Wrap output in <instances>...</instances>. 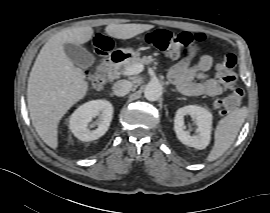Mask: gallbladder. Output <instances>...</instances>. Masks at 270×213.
Masks as SVG:
<instances>
[{
    "instance_id": "1",
    "label": "gallbladder",
    "mask_w": 270,
    "mask_h": 213,
    "mask_svg": "<svg viewBox=\"0 0 270 213\" xmlns=\"http://www.w3.org/2000/svg\"><path fill=\"white\" fill-rule=\"evenodd\" d=\"M64 51L75 66L86 69L95 62V57L86 48L72 43L64 44Z\"/></svg>"
}]
</instances>
